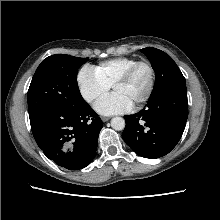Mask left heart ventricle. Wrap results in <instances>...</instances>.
<instances>
[{"instance_id": "1", "label": "left heart ventricle", "mask_w": 220, "mask_h": 220, "mask_svg": "<svg viewBox=\"0 0 220 220\" xmlns=\"http://www.w3.org/2000/svg\"><path fill=\"white\" fill-rule=\"evenodd\" d=\"M150 74L147 67L138 68L134 76L124 85L117 86L114 93L121 94L128 99L132 105L144 96L149 86Z\"/></svg>"}]
</instances>
